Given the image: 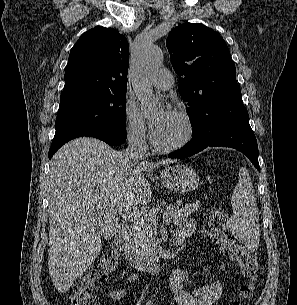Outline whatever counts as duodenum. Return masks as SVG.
Wrapping results in <instances>:
<instances>
[{
  "label": "duodenum",
  "instance_id": "duodenum-1",
  "mask_svg": "<svg viewBox=\"0 0 297 305\" xmlns=\"http://www.w3.org/2000/svg\"><path fill=\"white\" fill-rule=\"evenodd\" d=\"M189 235V230H178L170 241L169 247H180ZM117 244L125 259L136 269L147 273H157L161 270L162 262L157 255L145 257L137 251L130 228L124 223L118 225Z\"/></svg>",
  "mask_w": 297,
  "mask_h": 305
}]
</instances>
